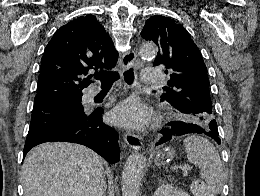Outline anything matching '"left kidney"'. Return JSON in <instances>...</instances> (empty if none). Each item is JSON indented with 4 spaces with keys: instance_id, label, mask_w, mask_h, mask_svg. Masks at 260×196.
Listing matches in <instances>:
<instances>
[{
    "instance_id": "5707ae66",
    "label": "left kidney",
    "mask_w": 260,
    "mask_h": 196,
    "mask_svg": "<svg viewBox=\"0 0 260 196\" xmlns=\"http://www.w3.org/2000/svg\"><path fill=\"white\" fill-rule=\"evenodd\" d=\"M153 196H188L184 190L180 188H175V186H170V184H163L155 190Z\"/></svg>"
}]
</instances>
